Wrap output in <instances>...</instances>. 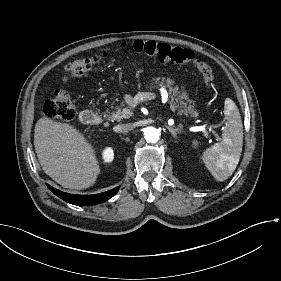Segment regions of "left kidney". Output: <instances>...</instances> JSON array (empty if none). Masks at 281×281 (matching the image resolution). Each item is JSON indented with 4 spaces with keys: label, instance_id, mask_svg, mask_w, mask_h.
Returning a JSON list of instances; mask_svg holds the SVG:
<instances>
[{
    "label": "left kidney",
    "instance_id": "left-kidney-1",
    "mask_svg": "<svg viewBox=\"0 0 281 281\" xmlns=\"http://www.w3.org/2000/svg\"><path fill=\"white\" fill-rule=\"evenodd\" d=\"M193 144H194V147H196V146H197V142H194Z\"/></svg>",
    "mask_w": 281,
    "mask_h": 281
}]
</instances>
